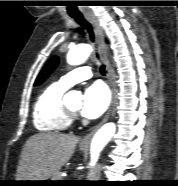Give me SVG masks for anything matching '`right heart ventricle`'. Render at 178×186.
I'll return each instance as SVG.
<instances>
[{
	"mask_svg": "<svg viewBox=\"0 0 178 186\" xmlns=\"http://www.w3.org/2000/svg\"><path fill=\"white\" fill-rule=\"evenodd\" d=\"M66 89L58 82L48 86L38 96L33 108V123L38 131L58 133L69 126L63 103Z\"/></svg>",
	"mask_w": 178,
	"mask_h": 186,
	"instance_id": "right-heart-ventricle-1",
	"label": "right heart ventricle"
}]
</instances>
